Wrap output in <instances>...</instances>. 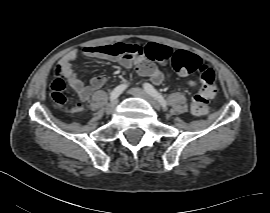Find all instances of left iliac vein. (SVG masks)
<instances>
[{
  "instance_id": "obj_1",
  "label": "left iliac vein",
  "mask_w": 270,
  "mask_h": 213,
  "mask_svg": "<svg viewBox=\"0 0 270 213\" xmlns=\"http://www.w3.org/2000/svg\"><path fill=\"white\" fill-rule=\"evenodd\" d=\"M130 94L146 100L148 103L151 104V106L155 110H157V111L161 110V105L159 104V102L154 97H152L150 94H148L146 91H144L143 89L133 88L130 90Z\"/></svg>"
}]
</instances>
